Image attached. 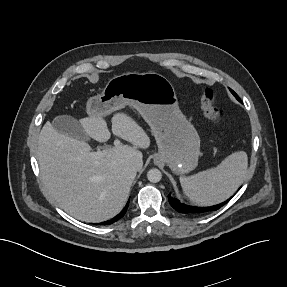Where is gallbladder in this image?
<instances>
[{"mask_svg":"<svg viewBox=\"0 0 287 287\" xmlns=\"http://www.w3.org/2000/svg\"><path fill=\"white\" fill-rule=\"evenodd\" d=\"M52 126L60 133L79 140H87L82 125L78 120L69 115H61L54 118Z\"/></svg>","mask_w":287,"mask_h":287,"instance_id":"1","label":"gallbladder"}]
</instances>
